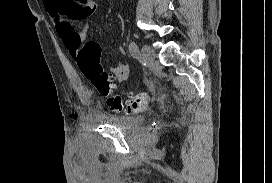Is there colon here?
<instances>
[{
	"label": "colon",
	"mask_w": 272,
	"mask_h": 183,
	"mask_svg": "<svg viewBox=\"0 0 272 183\" xmlns=\"http://www.w3.org/2000/svg\"><path fill=\"white\" fill-rule=\"evenodd\" d=\"M101 47L99 43L91 41L86 43L77 57L80 71L92 83L98 93L106 98L107 104L114 110L126 113H136L142 111L151 96L148 93H139L128 98H122L112 94V83L107 73L100 65Z\"/></svg>",
	"instance_id": "5ec220e1"
}]
</instances>
